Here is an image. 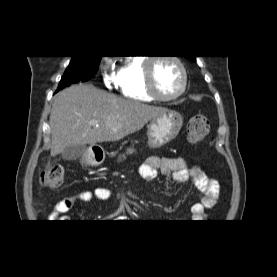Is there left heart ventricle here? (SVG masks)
Segmentation results:
<instances>
[{"label":"left heart ventricle","mask_w":277,"mask_h":277,"mask_svg":"<svg viewBox=\"0 0 277 277\" xmlns=\"http://www.w3.org/2000/svg\"><path fill=\"white\" fill-rule=\"evenodd\" d=\"M153 73L158 92L164 96L177 93L182 85V76L176 63L169 59H159L154 63Z\"/></svg>","instance_id":"left-heart-ventricle-1"}]
</instances>
